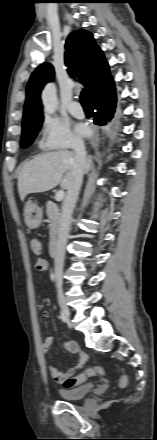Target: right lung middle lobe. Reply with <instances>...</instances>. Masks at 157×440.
Listing matches in <instances>:
<instances>
[{"label": "right lung middle lobe", "instance_id": "dd1d6c3e", "mask_svg": "<svg viewBox=\"0 0 157 440\" xmlns=\"http://www.w3.org/2000/svg\"><path fill=\"white\" fill-rule=\"evenodd\" d=\"M42 122L33 123L22 128L21 147L26 148L33 142L35 136L40 130Z\"/></svg>", "mask_w": 157, "mask_h": 440}]
</instances>
